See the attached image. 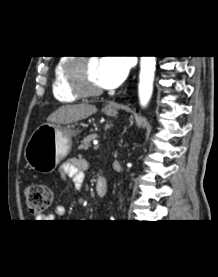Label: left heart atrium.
I'll return each instance as SVG.
<instances>
[{"instance_id":"obj_1","label":"left heart atrium","mask_w":218,"mask_h":277,"mask_svg":"<svg viewBox=\"0 0 218 277\" xmlns=\"http://www.w3.org/2000/svg\"><path fill=\"white\" fill-rule=\"evenodd\" d=\"M129 61L125 57L109 56L98 63V82L100 87L111 89L117 87L127 76Z\"/></svg>"}]
</instances>
